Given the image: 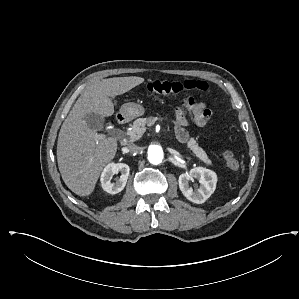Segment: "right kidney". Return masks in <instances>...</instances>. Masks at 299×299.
<instances>
[{"label":"right kidney","mask_w":299,"mask_h":299,"mask_svg":"<svg viewBox=\"0 0 299 299\" xmlns=\"http://www.w3.org/2000/svg\"><path fill=\"white\" fill-rule=\"evenodd\" d=\"M118 172L121 173L119 179L116 182H111L113 175L117 174ZM130 168L127 164L124 163H110L108 164L102 174H101V186L104 191L110 194H117L121 192L127 182L129 176Z\"/></svg>","instance_id":"1"}]
</instances>
